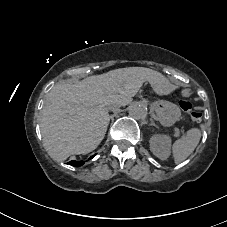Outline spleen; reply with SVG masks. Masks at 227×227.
<instances>
[{
  "label": "spleen",
  "mask_w": 227,
  "mask_h": 227,
  "mask_svg": "<svg viewBox=\"0 0 227 227\" xmlns=\"http://www.w3.org/2000/svg\"><path fill=\"white\" fill-rule=\"evenodd\" d=\"M201 138V131L192 128L186 135L176 140L172 146L173 157L176 164L183 162L197 147Z\"/></svg>",
  "instance_id": "spleen-1"
}]
</instances>
